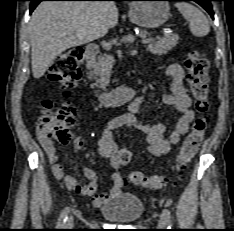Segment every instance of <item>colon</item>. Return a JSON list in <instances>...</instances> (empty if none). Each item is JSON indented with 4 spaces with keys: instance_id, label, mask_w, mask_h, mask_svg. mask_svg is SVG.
<instances>
[{
    "instance_id": "5ec220e1",
    "label": "colon",
    "mask_w": 234,
    "mask_h": 231,
    "mask_svg": "<svg viewBox=\"0 0 234 231\" xmlns=\"http://www.w3.org/2000/svg\"><path fill=\"white\" fill-rule=\"evenodd\" d=\"M83 50L81 47H72L60 54L49 69V77L52 81L59 83L65 89L74 88L81 78V64L83 61ZM187 80L191 93L195 99L196 109L199 116L195 119L191 130L186 136L176 159V168L182 169L199 150L208 126L205 115L209 108V63L206 57L198 52H191L186 61ZM44 112L41 117V129L47 137L59 143H66L70 139L69 128L75 122V109L64 104L55 111L52 103H43ZM121 164H128L133 157L129 149H121L118 153ZM130 181L139 186L156 190L164 187L167 179L161 175H146L139 171L130 174Z\"/></svg>"
}]
</instances>
